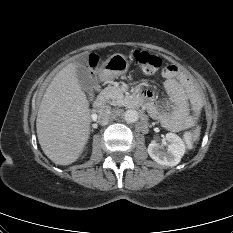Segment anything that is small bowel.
Masks as SVG:
<instances>
[{
  "label": "small bowel",
  "instance_id": "obj_1",
  "mask_svg": "<svg viewBox=\"0 0 233 233\" xmlns=\"http://www.w3.org/2000/svg\"><path fill=\"white\" fill-rule=\"evenodd\" d=\"M165 89L175 108L167 112L163 106H157L150 92L142 93L150 114L171 131H180L192 126L200 112L202 99L190 76L176 65L164 68Z\"/></svg>",
  "mask_w": 233,
  "mask_h": 233
}]
</instances>
